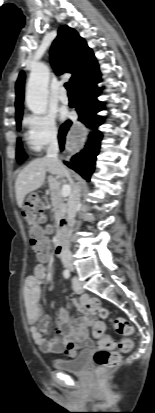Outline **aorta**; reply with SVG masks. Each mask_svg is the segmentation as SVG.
<instances>
[{
  "mask_svg": "<svg viewBox=\"0 0 155 413\" xmlns=\"http://www.w3.org/2000/svg\"><path fill=\"white\" fill-rule=\"evenodd\" d=\"M48 81L49 70L46 65L40 64L32 69L26 88V105L36 115L46 111Z\"/></svg>",
  "mask_w": 155,
  "mask_h": 413,
  "instance_id": "aorta-1",
  "label": "aorta"
}]
</instances>
